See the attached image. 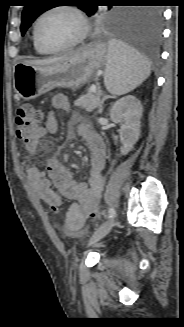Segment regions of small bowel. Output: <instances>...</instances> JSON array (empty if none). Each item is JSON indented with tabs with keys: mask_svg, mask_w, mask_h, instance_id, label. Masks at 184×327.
Returning <instances> with one entry per match:
<instances>
[{
	"mask_svg": "<svg viewBox=\"0 0 184 327\" xmlns=\"http://www.w3.org/2000/svg\"><path fill=\"white\" fill-rule=\"evenodd\" d=\"M52 106L67 111L70 108L68 98L58 94L52 98ZM58 122L53 111H49L44 124L36 134L25 141V148L29 153H36L40 139L47 134L57 131ZM91 154V171L87 183L73 179L71 173L56 157H50L43 169L34 165L28 169L27 180L35 195L45 202L62 205V197L74 201L66 212V226L71 231L79 230L91 212L97 211V201L104 185L102 170L105 167L106 145L101 135L82 123L78 127Z\"/></svg>",
	"mask_w": 184,
	"mask_h": 327,
	"instance_id": "1",
	"label": "small bowel"
}]
</instances>
